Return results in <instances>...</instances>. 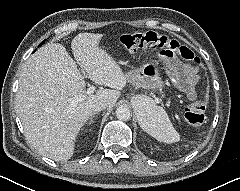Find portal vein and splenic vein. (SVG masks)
Listing matches in <instances>:
<instances>
[{"label": "portal vein and splenic vein", "mask_w": 240, "mask_h": 191, "mask_svg": "<svg viewBox=\"0 0 240 191\" xmlns=\"http://www.w3.org/2000/svg\"><path fill=\"white\" fill-rule=\"evenodd\" d=\"M95 91V86H90L87 91H86V94L87 95H90L92 94L93 92ZM84 100V95H78V96H75L73 98H70L68 99V102L71 104V105H76L78 104L79 102H82Z\"/></svg>", "instance_id": "portal-vein-and-splenic-vein-1"}]
</instances>
